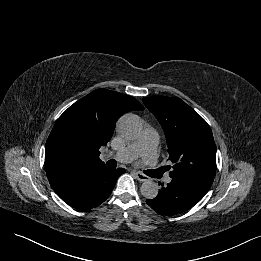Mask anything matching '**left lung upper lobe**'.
I'll use <instances>...</instances> for the list:
<instances>
[{"label":"left lung upper lobe","mask_w":261,"mask_h":261,"mask_svg":"<svg viewBox=\"0 0 261 261\" xmlns=\"http://www.w3.org/2000/svg\"><path fill=\"white\" fill-rule=\"evenodd\" d=\"M143 102L161 124L174 164L171 178L191 177L213 183L216 146L206 121L189 105L174 97H145Z\"/></svg>","instance_id":"left-lung-upper-lobe-1"}]
</instances>
